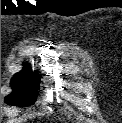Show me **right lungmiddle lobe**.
<instances>
[{"instance_id":"dd1d6c3e","label":"right lung middle lobe","mask_w":122,"mask_h":123,"mask_svg":"<svg viewBox=\"0 0 122 123\" xmlns=\"http://www.w3.org/2000/svg\"><path fill=\"white\" fill-rule=\"evenodd\" d=\"M37 72L24 68L15 74L11 80L13 92L5 98V103L16 106H29L34 103L39 87Z\"/></svg>"}]
</instances>
